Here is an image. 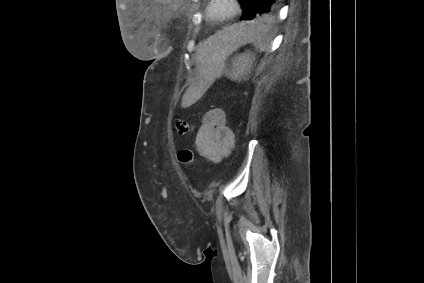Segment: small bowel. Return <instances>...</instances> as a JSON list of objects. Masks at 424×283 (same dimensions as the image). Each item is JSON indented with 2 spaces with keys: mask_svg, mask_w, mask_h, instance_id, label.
<instances>
[{
  "mask_svg": "<svg viewBox=\"0 0 424 283\" xmlns=\"http://www.w3.org/2000/svg\"><path fill=\"white\" fill-rule=\"evenodd\" d=\"M195 150L207 161L220 162L228 156L234 145V134L226 125L223 109L207 111L194 138Z\"/></svg>",
  "mask_w": 424,
  "mask_h": 283,
  "instance_id": "1",
  "label": "small bowel"
}]
</instances>
